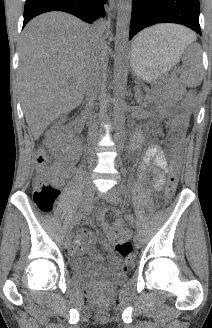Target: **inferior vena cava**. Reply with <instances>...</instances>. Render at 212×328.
<instances>
[{"label": "inferior vena cava", "mask_w": 212, "mask_h": 328, "mask_svg": "<svg viewBox=\"0 0 212 328\" xmlns=\"http://www.w3.org/2000/svg\"><path fill=\"white\" fill-rule=\"evenodd\" d=\"M92 30L95 33V35L98 38H100L103 33V21L102 20L96 21L92 26ZM97 92H98V77L94 72H92L88 80V84L86 88V100H85L86 102L85 114L89 117H92L90 110L96 99ZM96 130H97L96 123L90 122L88 128V140L90 143L94 142Z\"/></svg>", "instance_id": "obj_1"}]
</instances>
